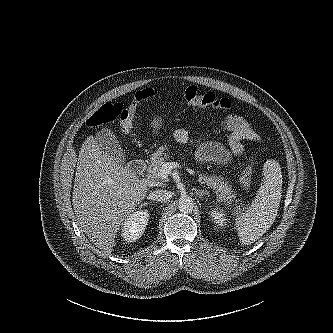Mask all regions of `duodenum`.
<instances>
[{"mask_svg":"<svg viewBox=\"0 0 333 333\" xmlns=\"http://www.w3.org/2000/svg\"><path fill=\"white\" fill-rule=\"evenodd\" d=\"M129 169L135 173H143L147 168V164L143 159H136L130 162Z\"/></svg>","mask_w":333,"mask_h":333,"instance_id":"duodenum-1","label":"duodenum"}]
</instances>
